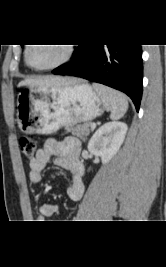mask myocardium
I'll list each match as a JSON object with an SVG mask.
<instances>
[{
    "label": "myocardium",
    "mask_w": 166,
    "mask_h": 267,
    "mask_svg": "<svg viewBox=\"0 0 166 267\" xmlns=\"http://www.w3.org/2000/svg\"><path fill=\"white\" fill-rule=\"evenodd\" d=\"M32 45H34V44H28L25 47V50H24V61H25L26 65H27V67H29L31 70L37 71V72L50 71V70H53V69H56L58 67L63 66L64 64H66L71 59V57H72V55L74 53V48H73V46H71V44H64L65 45L64 46L65 47V55L60 61H58L55 64H52V65H49V66H45V67H34L29 63V59H28L29 51H30V48L32 47Z\"/></svg>",
    "instance_id": "1"
}]
</instances>
